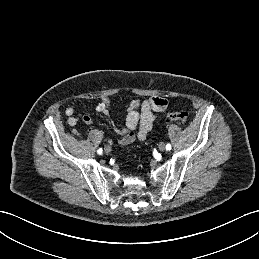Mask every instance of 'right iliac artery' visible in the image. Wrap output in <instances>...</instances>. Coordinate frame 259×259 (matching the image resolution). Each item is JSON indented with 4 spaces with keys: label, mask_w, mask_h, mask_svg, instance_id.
Segmentation results:
<instances>
[{
    "label": "right iliac artery",
    "mask_w": 259,
    "mask_h": 259,
    "mask_svg": "<svg viewBox=\"0 0 259 259\" xmlns=\"http://www.w3.org/2000/svg\"><path fill=\"white\" fill-rule=\"evenodd\" d=\"M97 152H98V154H102V152H103L102 148L98 149Z\"/></svg>",
    "instance_id": "right-iliac-artery-1"
}]
</instances>
